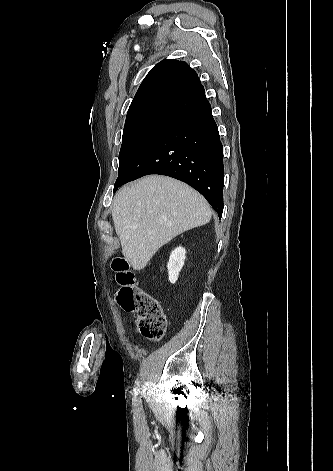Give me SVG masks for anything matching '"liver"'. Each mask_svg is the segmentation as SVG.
<instances>
[{
	"mask_svg": "<svg viewBox=\"0 0 333 471\" xmlns=\"http://www.w3.org/2000/svg\"><path fill=\"white\" fill-rule=\"evenodd\" d=\"M211 215L209 204L197 191L160 175L123 187L112 208L123 254L135 270L145 268L154 254L177 235L207 224Z\"/></svg>",
	"mask_w": 333,
	"mask_h": 471,
	"instance_id": "6515ba94",
	"label": "liver"
}]
</instances>
